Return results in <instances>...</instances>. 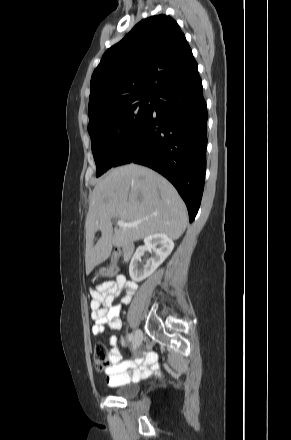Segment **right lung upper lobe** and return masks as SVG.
<instances>
[{"label":"right lung upper lobe","instance_id":"cb5924a9","mask_svg":"<svg viewBox=\"0 0 291 440\" xmlns=\"http://www.w3.org/2000/svg\"><path fill=\"white\" fill-rule=\"evenodd\" d=\"M195 67L191 48L174 19L163 14L144 19L104 53L91 78L88 111L135 96H154Z\"/></svg>","mask_w":291,"mask_h":440}]
</instances>
